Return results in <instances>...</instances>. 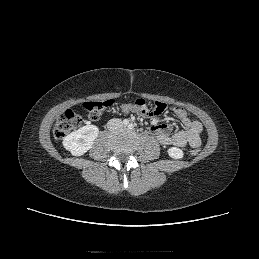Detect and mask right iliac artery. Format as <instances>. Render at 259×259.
<instances>
[{
	"mask_svg": "<svg viewBox=\"0 0 259 259\" xmlns=\"http://www.w3.org/2000/svg\"><path fill=\"white\" fill-rule=\"evenodd\" d=\"M128 123H129V121L127 120V119H124L123 120V124L126 126V125H128Z\"/></svg>",
	"mask_w": 259,
	"mask_h": 259,
	"instance_id": "right-iliac-artery-1",
	"label": "right iliac artery"
}]
</instances>
